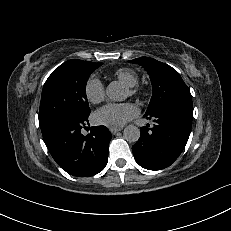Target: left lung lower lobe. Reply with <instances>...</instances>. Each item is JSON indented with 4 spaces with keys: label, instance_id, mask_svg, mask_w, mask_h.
<instances>
[{
    "label": "left lung lower lobe",
    "instance_id": "1",
    "mask_svg": "<svg viewBox=\"0 0 231 231\" xmlns=\"http://www.w3.org/2000/svg\"><path fill=\"white\" fill-rule=\"evenodd\" d=\"M193 105L190 101H170L145 113L155 125L141 127V136L132 146L136 162L148 170L170 166L183 151L191 130Z\"/></svg>",
    "mask_w": 231,
    "mask_h": 231
}]
</instances>
